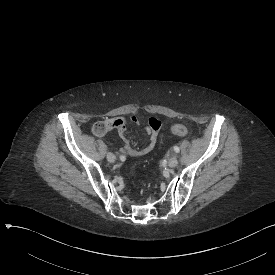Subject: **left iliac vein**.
<instances>
[{"label":"left iliac vein","mask_w":275,"mask_h":275,"mask_svg":"<svg viewBox=\"0 0 275 275\" xmlns=\"http://www.w3.org/2000/svg\"><path fill=\"white\" fill-rule=\"evenodd\" d=\"M168 165L171 168H174L178 165V159L176 158V156H172L169 160H168Z\"/></svg>","instance_id":"1"}]
</instances>
